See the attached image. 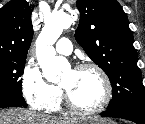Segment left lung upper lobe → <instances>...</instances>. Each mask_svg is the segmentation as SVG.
<instances>
[{
    "label": "left lung upper lobe",
    "mask_w": 145,
    "mask_h": 124,
    "mask_svg": "<svg viewBox=\"0 0 145 124\" xmlns=\"http://www.w3.org/2000/svg\"><path fill=\"white\" fill-rule=\"evenodd\" d=\"M80 22L77 42L109 77L112 100L108 109L145 110L142 75L128 18L116 0H77Z\"/></svg>",
    "instance_id": "obj_1"
}]
</instances>
